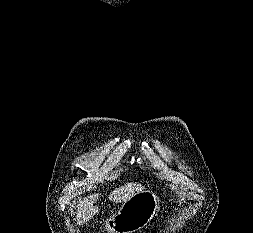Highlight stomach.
I'll return each instance as SVG.
<instances>
[{"label": "stomach", "mask_w": 253, "mask_h": 233, "mask_svg": "<svg viewBox=\"0 0 253 233\" xmlns=\"http://www.w3.org/2000/svg\"><path fill=\"white\" fill-rule=\"evenodd\" d=\"M159 197L151 190H142L123 202L118 212L106 223L110 233H136L146 227L159 209Z\"/></svg>", "instance_id": "1"}]
</instances>
